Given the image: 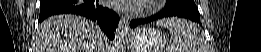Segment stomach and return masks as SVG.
<instances>
[{
	"mask_svg": "<svg viewBox=\"0 0 261 52\" xmlns=\"http://www.w3.org/2000/svg\"><path fill=\"white\" fill-rule=\"evenodd\" d=\"M132 52H160L163 45L159 31L150 28H138L130 37Z\"/></svg>",
	"mask_w": 261,
	"mask_h": 52,
	"instance_id": "stomach-1",
	"label": "stomach"
}]
</instances>
